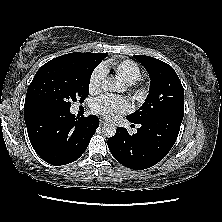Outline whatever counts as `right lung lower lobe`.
I'll return each instance as SVG.
<instances>
[{"label": "right lung lower lobe", "instance_id": "1", "mask_svg": "<svg viewBox=\"0 0 222 222\" xmlns=\"http://www.w3.org/2000/svg\"><path fill=\"white\" fill-rule=\"evenodd\" d=\"M25 123L36 153L57 166L77 160L99 126L95 115L78 118L69 110L39 113Z\"/></svg>", "mask_w": 222, "mask_h": 222}]
</instances>
